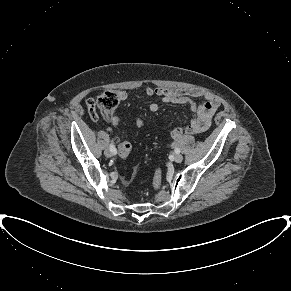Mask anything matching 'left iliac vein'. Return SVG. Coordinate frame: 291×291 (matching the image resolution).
Wrapping results in <instances>:
<instances>
[{
	"instance_id": "obj_1",
	"label": "left iliac vein",
	"mask_w": 291,
	"mask_h": 291,
	"mask_svg": "<svg viewBox=\"0 0 291 291\" xmlns=\"http://www.w3.org/2000/svg\"><path fill=\"white\" fill-rule=\"evenodd\" d=\"M182 160H183V156L181 154H175L174 155V161L176 163H180V162H182Z\"/></svg>"
}]
</instances>
